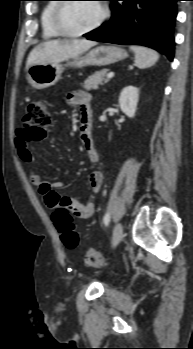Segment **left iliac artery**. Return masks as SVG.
Wrapping results in <instances>:
<instances>
[{
  "label": "left iliac artery",
  "mask_w": 193,
  "mask_h": 349,
  "mask_svg": "<svg viewBox=\"0 0 193 349\" xmlns=\"http://www.w3.org/2000/svg\"><path fill=\"white\" fill-rule=\"evenodd\" d=\"M103 222L105 224V226H108L109 222H110V214L107 213L104 218H103Z\"/></svg>",
  "instance_id": "obj_1"
}]
</instances>
